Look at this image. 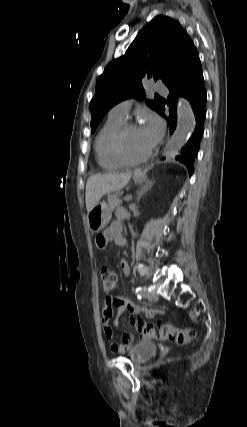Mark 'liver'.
<instances>
[{
    "label": "liver",
    "instance_id": "liver-1",
    "mask_svg": "<svg viewBox=\"0 0 247 427\" xmlns=\"http://www.w3.org/2000/svg\"><path fill=\"white\" fill-rule=\"evenodd\" d=\"M131 172L91 175L86 183V208L89 212L106 193L121 190L131 178Z\"/></svg>",
    "mask_w": 247,
    "mask_h": 427
}]
</instances>
